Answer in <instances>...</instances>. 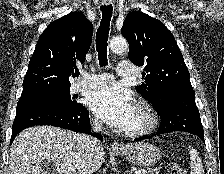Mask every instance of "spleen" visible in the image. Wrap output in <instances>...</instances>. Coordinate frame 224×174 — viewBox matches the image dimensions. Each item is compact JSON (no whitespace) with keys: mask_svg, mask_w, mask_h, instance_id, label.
Segmentation results:
<instances>
[{"mask_svg":"<svg viewBox=\"0 0 224 174\" xmlns=\"http://www.w3.org/2000/svg\"><path fill=\"white\" fill-rule=\"evenodd\" d=\"M190 154V174H204L203 165L197 151L194 148H189Z\"/></svg>","mask_w":224,"mask_h":174,"instance_id":"spleen-1","label":"spleen"}]
</instances>
